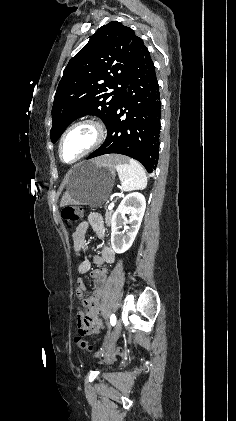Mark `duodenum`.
Returning <instances> with one entry per match:
<instances>
[{
  "mask_svg": "<svg viewBox=\"0 0 236 421\" xmlns=\"http://www.w3.org/2000/svg\"><path fill=\"white\" fill-rule=\"evenodd\" d=\"M115 259V253L113 250L109 248H105L102 252V255L99 257H96V262L99 265L103 264H110L113 263ZM93 276L97 282V287L94 292V296L92 299L87 300L88 304L90 305V317L93 319L95 314L100 310L101 303H102V297H103V282L106 277V270L105 269H96L93 272ZM87 318V317H85ZM86 322V319L84 320ZM88 330L91 332L93 329L90 327Z\"/></svg>",
  "mask_w": 236,
  "mask_h": 421,
  "instance_id": "410a0bca",
  "label": "duodenum"
}]
</instances>
